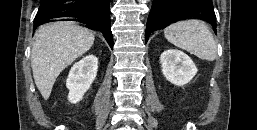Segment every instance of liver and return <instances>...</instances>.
Listing matches in <instances>:
<instances>
[{
  "label": "liver",
  "instance_id": "obj_1",
  "mask_svg": "<svg viewBox=\"0 0 257 130\" xmlns=\"http://www.w3.org/2000/svg\"><path fill=\"white\" fill-rule=\"evenodd\" d=\"M94 43V34L70 21L39 27L31 51L35 84L47 100L59 74Z\"/></svg>",
  "mask_w": 257,
  "mask_h": 130
}]
</instances>
